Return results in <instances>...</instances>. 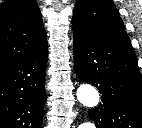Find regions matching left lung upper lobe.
Wrapping results in <instances>:
<instances>
[{"label": "left lung upper lobe", "instance_id": "left-lung-upper-lobe-1", "mask_svg": "<svg viewBox=\"0 0 142 128\" xmlns=\"http://www.w3.org/2000/svg\"><path fill=\"white\" fill-rule=\"evenodd\" d=\"M72 23L75 29L135 53L112 0H77Z\"/></svg>", "mask_w": 142, "mask_h": 128}]
</instances>
